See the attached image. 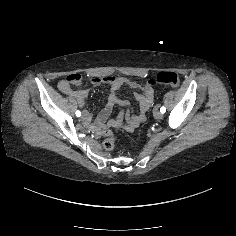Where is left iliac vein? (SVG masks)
I'll use <instances>...</instances> for the list:
<instances>
[{"mask_svg": "<svg viewBox=\"0 0 236 236\" xmlns=\"http://www.w3.org/2000/svg\"><path fill=\"white\" fill-rule=\"evenodd\" d=\"M153 116L156 119H161L163 114L159 110H154Z\"/></svg>", "mask_w": 236, "mask_h": 236, "instance_id": "4c4485c4", "label": "left iliac vein"}]
</instances>
